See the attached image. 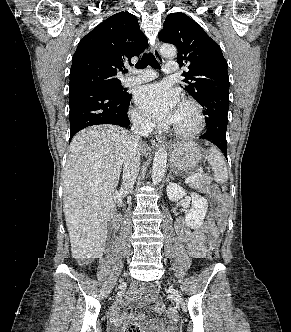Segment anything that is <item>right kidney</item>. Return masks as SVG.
I'll use <instances>...</instances> for the list:
<instances>
[{
	"label": "right kidney",
	"instance_id": "ca27d5eb",
	"mask_svg": "<svg viewBox=\"0 0 291 332\" xmlns=\"http://www.w3.org/2000/svg\"><path fill=\"white\" fill-rule=\"evenodd\" d=\"M114 200H117L118 206H122V199L119 196L118 193H116L115 195H113Z\"/></svg>",
	"mask_w": 291,
	"mask_h": 332
}]
</instances>
